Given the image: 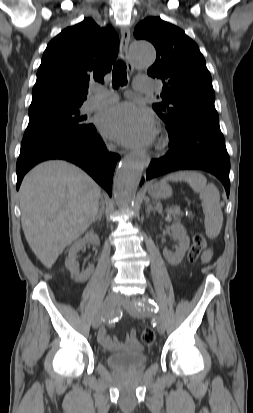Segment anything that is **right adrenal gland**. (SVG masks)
<instances>
[{
	"instance_id": "2a0ac1e0",
	"label": "right adrenal gland",
	"mask_w": 253,
	"mask_h": 413,
	"mask_svg": "<svg viewBox=\"0 0 253 413\" xmlns=\"http://www.w3.org/2000/svg\"><path fill=\"white\" fill-rule=\"evenodd\" d=\"M103 212H104V209H103V207H101V208L99 209L96 217L94 218L93 222H96L97 220H98V221H101L102 216H103Z\"/></svg>"
}]
</instances>
